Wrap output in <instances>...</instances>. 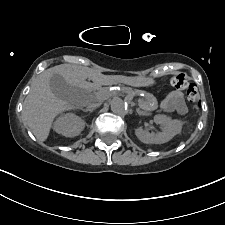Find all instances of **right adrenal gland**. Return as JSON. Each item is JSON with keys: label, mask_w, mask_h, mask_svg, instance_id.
Instances as JSON below:
<instances>
[{"label": "right adrenal gland", "mask_w": 225, "mask_h": 225, "mask_svg": "<svg viewBox=\"0 0 225 225\" xmlns=\"http://www.w3.org/2000/svg\"><path fill=\"white\" fill-rule=\"evenodd\" d=\"M83 111H84V112H88V111H89V112H92V111H94V109L87 108V109H84Z\"/></svg>", "instance_id": "obj_1"}]
</instances>
